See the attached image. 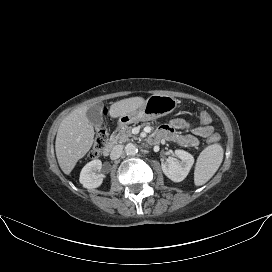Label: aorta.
Wrapping results in <instances>:
<instances>
[{
  "label": "aorta",
  "instance_id": "aorta-1",
  "mask_svg": "<svg viewBox=\"0 0 272 272\" xmlns=\"http://www.w3.org/2000/svg\"><path fill=\"white\" fill-rule=\"evenodd\" d=\"M137 152H138V149H137L136 145H134L133 143H128L125 146V153L128 156H134L137 154Z\"/></svg>",
  "mask_w": 272,
  "mask_h": 272
}]
</instances>
